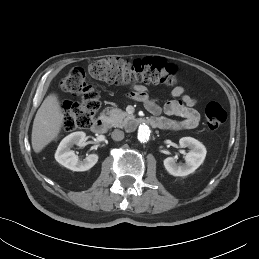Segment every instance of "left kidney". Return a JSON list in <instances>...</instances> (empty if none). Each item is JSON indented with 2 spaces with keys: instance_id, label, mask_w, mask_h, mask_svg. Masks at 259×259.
Here are the masks:
<instances>
[{
  "instance_id": "left-kidney-1",
  "label": "left kidney",
  "mask_w": 259,
  "mask_h": 259,
  "mask_svg": "<svg viewBox=\"0 0 259 259\" xmlns=\"http://www.w3.org/2000/svg\"><path fill=\"white\" fill-rule=\"evenodd\" d=\"M181 148L188 147L190 151L185 156V163L177 164L175 159L168 157L164 160V167L173 176H187L193 173L204 161L206 148L192 137H183L179 140Z\"/></svg>"
}]
</instances>
